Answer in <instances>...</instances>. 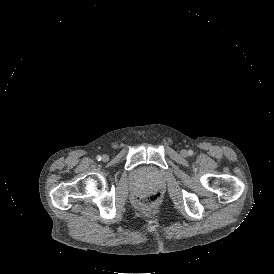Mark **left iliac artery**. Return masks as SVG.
I'll return each mask as SVG.
<instances>
[{
	"mask_svg": "<svg viewBox=\"0 0 274 274\" xmlns=\"http://www.w3.org/2000/svg\"><path fill=\"white\" fill-rule=\"evenodd\" d=\"M193 154H194V152H193L192 150H189V151H188V155H189V156H192Z\"/></svg>",
	"mask_w": 274,
	"mask_h": 274,
	"instance_id": "obj_1",
	"label": "left iliac artery"
}]
</instances>
